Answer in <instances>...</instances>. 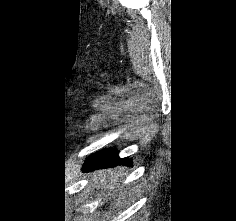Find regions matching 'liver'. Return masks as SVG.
Listing matches in <instances>:
<instances>
[{"label":"liver","instance_id":"1","mask_svg":"<svg viewBox=\"0 0 236 221\" xmlns=\"http://www.w3.org/2000/svg\"><path fill=\"white\" fill-rule=\"evenodd\" d=\"M124 173L121 168L97 171L91 174V183L98 190L100 196L114 198L117 194V187L120 185Z\"/></svg>","mask_w":236,"mask_h":221}]
</instances>
